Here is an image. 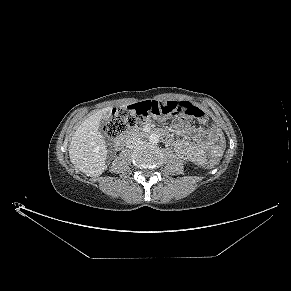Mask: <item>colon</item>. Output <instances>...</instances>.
Returning <instances> with one entry per match:
<instances>
[{
	"label": "colon",
	"instance_id": "obj_1",
	"mask_svg": "<svg viewBox=\"0 0 291 291\" xmlns=\"http://www.w3.org/2000/svg\"><path fill=\"white\" fill-rule=\"evenodd\" d=\"M177 115L198 118L203 122L206 120L204 111L187 101H145L112 110L105 122V133L110 138H116L145 118ZM217 165V159H210L207 163L209 168H215Z\"/></svg>",
	"mask_w": 291,
	"mask_h": 291
}]
</instances>
